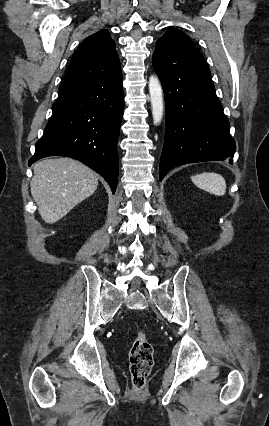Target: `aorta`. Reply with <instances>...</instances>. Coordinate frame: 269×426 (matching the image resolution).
<instances>
[{"instance_id":"aorta-1","label":"aorta","mask_w":269,"mask_h":426,"mask_svg":"<svg viewBox=\"0 0 269 426\" xmlns=\"http://www.w3.org/2000/svg\"><path fill=\"white\" fill-rule=\"evenodd\" d=\"M148 85L151 100L152 116L154 123L158 125L161 123L163 118V90L159 79L154 75L150 76Z\"/></svg>"}]
</instances>
